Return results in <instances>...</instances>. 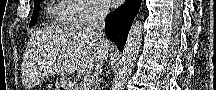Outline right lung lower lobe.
<instances>
[{"mask_svg":"<svg viewBox=\"0 0 216 90\" xmlns=\"http://www.w3.org/2000/svg\"><path fill=\"white\" fill-rule=\"evenodd\" d=\"M141 2V0H127L124 5L106 16V36L117 45L120 51H123Z\"/></svg>","mask_w":216,"mask_h":90,"instance_id":"98d812e1","label":"right lung lower lobe"}]
</instances>
